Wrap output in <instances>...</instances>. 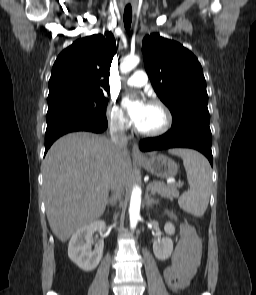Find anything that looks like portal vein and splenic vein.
<instances>
[{
	"label": "portal vein and splenic vein",
	"instance_id": "1",
	"mask_svg": "<svg viewBox=\"0 0 256 295\" xmlns=\"http://www.w3.org/2000/svg\"><path fill=\"white\" fill-rule=\"evenodd\" d=\"M174 185H176L177 187H181L183 185V183L182 182H176V183H174Z\"/></svg>",
	"mask_w": 256,
	"mask_h": 295
}]
</instances>
